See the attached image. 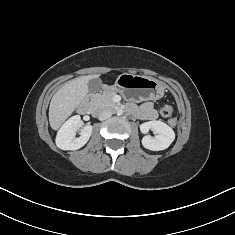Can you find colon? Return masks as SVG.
Here are the masks:
<instances>
[{"label": "colon", "mask_w": 235, "mask_h": 235, "mask_svg": "<svg viewBox=\"0 0 235 235\" xmlns=\"http://www.w3.org/2000/svg\"><path fill=\"white\" fill-rule=\"evenodd\" d=\"M160 113H161V115L163 116V117H170L171 115H172V113H173V107L170 105V104H165V105H163L162 107H161V109H160ZM170 124L172 125V126H175V124H176V121L174 120V119H171L170 120Z\"/></svg>", "instance_id": "1"}]
</instances>
